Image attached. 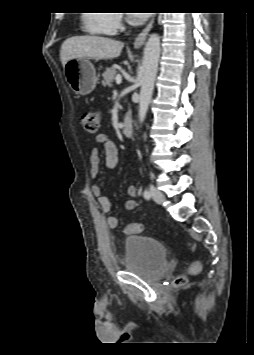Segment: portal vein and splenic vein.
Listing matches in <instances>:
<instances>
[{"instance_id": "18ae733b", "label": "portal vein and splenic vein", "mask_w": 254, "mask_h": 355, "mask_svg": "<svg viewBox=\"0 0 254 355\" xmlns=\"http://www.w3.org/2000/svg\"><path fill=\"white\" fill-rule=\"evenodd\" d=\"M115 80H116L117 84H120L122 82V76L121 75H117Z\"/></svg>"}]
</instances>
